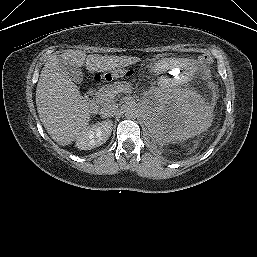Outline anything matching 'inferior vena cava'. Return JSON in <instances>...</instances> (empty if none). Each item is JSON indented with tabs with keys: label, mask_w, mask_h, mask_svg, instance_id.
<instances>
[{
	"label": "inferior vena cava",
	"mask_w": 257,
	"mask_h": 257,
	"mask_svg": "<svg viewBox=\"0 0 257 257\" xmlns=\"http://www.w3.org/2000/svg\"><path fill=\"white\" fill-rule=\"evenodd\" d=\"M118 110V104L116 103H106L100 108V115L104 118L113 117Z\"/></svg>",
	"instance_id": "obj_1"
}]
</instances>
